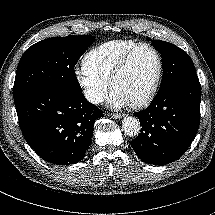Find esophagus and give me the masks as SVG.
I'll return each instance as SVG.
<instances>
[{
	"instance_id": "esophagus-1",
	"label": "esophagus",
	"mask_w": 215,
	"mask_h": 215,
	"mask_svg": "<svg viewBox=\"0 0 215 215\" xmlns=\"http://www.w3.org/2000/svg\"><path fill=\"white\" fill-rule=\"evenodd\" d=\"M123 117H124L123 114H115V115H113V118H115V119H121Z\"/></svg>"
}]
</instances>
